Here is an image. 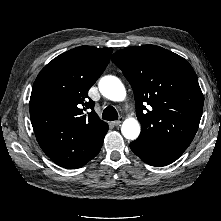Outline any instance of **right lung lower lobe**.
Masks as SVG:
<instances>
[{"label":"right lung lower lobe","instance_id":"1","mask_svg":"<svg viewBox=\"0 0 221 221\" xmlns=\"http://www.w3.org/2000/svg\"><path fill=\"white\" fill-rule=\"evenodd\" d=\"M106 133H107V132H106ZM103 139H104V137L102 138V140H101V142H100V145H99V149H98L97 154L99 153V151H100V149H101V147H102Z\"/></svg>","mask_w":221,"mask_h":221}]
</instances>
